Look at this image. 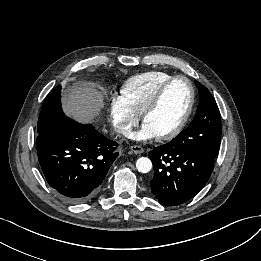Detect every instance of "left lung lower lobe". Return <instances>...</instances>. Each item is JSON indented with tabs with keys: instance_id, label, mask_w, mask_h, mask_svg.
<instances>
[{
	"instance_id": "obj_1",
	"label": "left lung lower lobe",
	"mask_w": 261,
	"mask_h": 261,
	"mask_svg": "<svg viewBox=\"0 0 261 261\" xmlns=\"http://www.w3.org/2000/svg\"><path fill=\"white\" fill-rule=\"evenodd\" d=\"M154 177L150 189L165 206L181 205L207 183L214 168L215 158L171 141L149 152Z\"/></svg>"
}]
</instances>
